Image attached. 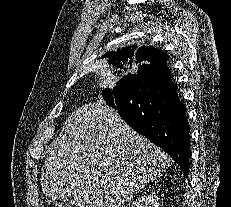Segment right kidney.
<instances>
[{
  "label": "right kidney",
  "instance_id": "right-kidney-1",
  "mask_svg": "<svg viewBox=\"0 0 231 207\" xmlns=\"http://www.w3.org/2000/svg\"><path fill=\"white\" fill-rule=\"evenodd\" d=\"M131 207H159V203L153 195H143L137 198Z\"/></svg>",
  "mask_w": 231,
  "mask_h": 207
}]
</instances>
